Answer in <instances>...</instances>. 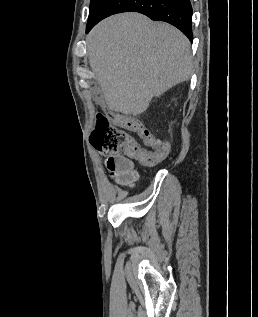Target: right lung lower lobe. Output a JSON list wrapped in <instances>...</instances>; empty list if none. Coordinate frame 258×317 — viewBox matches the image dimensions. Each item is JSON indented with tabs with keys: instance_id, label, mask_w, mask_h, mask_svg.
<instances>
[{
	"instance_id": "98d812e1",
	"label": "right lung lower lobe",
	"mask_w": 258,
	"mask_h": 317,
	"mask_svg": "<svg viewBox=\"0 0 258 317\" xmlns=\"http://www.w3.org/2000/svg\"><path fill=\"white\" fill-rule=\"evenodd\" d=\"M139 12L181 30L192 42V7L189 0H91L86 33L102 19L121 12Z\"/></svg>"
}]
</instances>
